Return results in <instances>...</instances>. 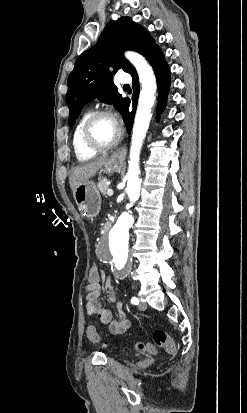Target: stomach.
<instances>
[{
    "label": "stomach",
    "instance_id": "stomach-1",
    "mask_svg": "<svg viewBox=\"0 0 247 413\" xmlns=\"http://www.w3.org/2000/svg\"><path fill=\"white\" fill-rule=\"evenodd\" d=\"M123 160L124 158L117 156L114 152V154H111L106 162H104V168H102V170H105V172H118ZM73 194L82 217H86V219H94V217H97L101 209V194L94 182H91V180L81 182V184H78L77 188H75Z\"/></svg>",
    "mask_w": 247,
    "mask_h": 413
}]
</instances>
